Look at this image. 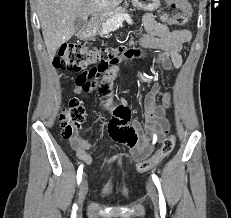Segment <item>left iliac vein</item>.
<instances>
[{
	"label": "left iliac vein",
	"mask_w": 231,
	"mask_h": 218,
	"mask_svg": "<svg viewBox=\"0 0 231 218\" xmlns=\"http://www.w3.org/2000/svg\"><path fill=\"white\" fill-rule=\"evenodd\" d=\"M146 187H147L148 195L151 198L152 203L154 205V208L156 211H158L159 210V199H158L156 187L151 180L147 181Z\"/></svg>",
	"instance_id": "4c4485c4"
}]
</instances>
